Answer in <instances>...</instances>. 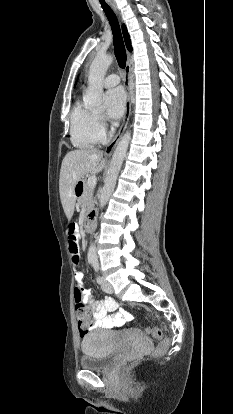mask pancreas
Here are the masks:
<instances>
[{
  "label": "pancreas",
  "instance_id": "pancreas-1",
  "mask_svg": "<svg viewBox=\"0 0 233 414\" xmlns=\"http://www.w3.org/2000/svg\"><path fill=\"white\" fill-rule=\"evenodd\" d=\"M93 190L94 187H90L87 181H84V191L83 195L79 199V204L81 207H86L87 210L93 207L94 200H93Z\"/></svg>",
  "mask_w": 233,
  "mask_h": 414
}]
</instances>
